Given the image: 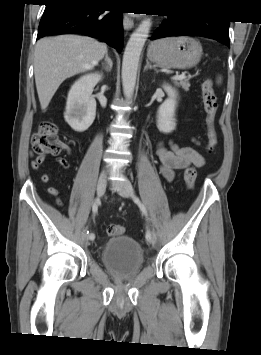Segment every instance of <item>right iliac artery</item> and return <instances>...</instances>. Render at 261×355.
<instances>
[{
	"label": "right iliac artery",
	"mask_w": 261,
	"mask_h": 355,
	"mask_svg": "<svg viewBox=\"0 0 261 355\" xmlns=\"http://www.w3.org/2000/svg\"><path fill=\"white\" fill-rule=\"evenodd\" d=\"M98 205H99V199H96L93 203V206H92V212H93V215H96L97 211H98ZM85 233L86 234H89V239L90 240H94L95 239V235L93 233H89V231L85 230Z\"/></svg>",
	"instance_id": "right-iliac-artery-1"
}]
</instances>
